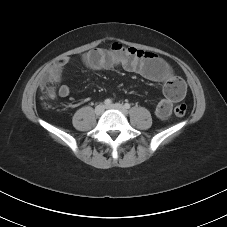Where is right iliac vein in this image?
Returning <instances> with one entry per match:
<instances>
[{
	"label": "right iliac vein",
	"mask_w": 227,
	"mask_h": 227,
	"mask_svg": "<svg viewBox=\"0 0 227 227\" xmlns=\"http://www.w3.org/2000/svg\"><path fill=\"white\" fill-rule=\"evenodd\" d=\"M105 110V106L103 104H99L95 107V114L101 115Z\"/></svg>",
	"instance_id": "obj_1"
}]
</instances>
